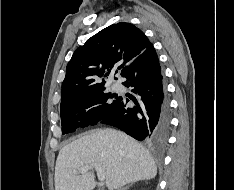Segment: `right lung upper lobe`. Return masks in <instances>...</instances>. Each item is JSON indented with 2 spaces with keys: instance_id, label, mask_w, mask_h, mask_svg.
<instances>
[{
  "instance_id": "right-lung-upper-lobe-1",
  "label": "right lung upper lobe",
  "mask_w": 234,
  "mask_h": 190,
  "mask_svg": "<svg viewBox=\"0 0 234 190\" xmlns=\"http://www.w3.org/2000/svg\"><path fill=\"white\" fill-rule=\"evenodd\" d=\"M151 45L145 34L130 23L120 22L101 30L80 46L69 61L61 103L104 88V77L115 69H121L122 76Z\"/></svg>"
}]
</instances>
